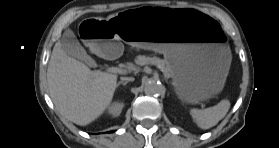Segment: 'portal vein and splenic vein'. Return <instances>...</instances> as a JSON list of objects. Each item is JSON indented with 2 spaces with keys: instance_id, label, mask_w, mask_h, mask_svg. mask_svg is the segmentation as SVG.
<instances>
[{
  "instance_id": "portal-vein-and-splenic-vein-1",
  "label": "portal vein and splenic vein",
  "mask_w": 279,
  "mask_h": 148,
  "mask_svg": "<svg viewBox=\"0 0 279 148\" xmlns=\"http://www.w3.org/2000/svg\"><path fill=\"white\" fill-rule=\"evenodd\" d=\"M158 68H160V67L158 66ZM107 72L123 74L125 71L123 69H121V68L109 67V68H107ZM201 107H204V105L201 104Z\"/></svg>"
}]
</instances>
